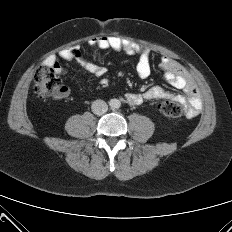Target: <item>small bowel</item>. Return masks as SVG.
Masks as SVG:
<instances>
[{
	"label": "small bowel",
	"mask_w": 232,
	"mask_h": 232,
	"mask_svg": "<svg viewBox=\"0 0 232 232\" xmlns=\"http://www.w3.org/2000/svg\"><path fill=\"white\" fill-rule=\"evenodd\" d=\"M90 45L101 50L124 52L137 55L136 73L142 78H148L151 74V51L149 48L136 44L132 41L117 36H100L89 41ZM64 61L76 60L77 63L89 74L102 77L107 73L106 67L83 57L76 48H67L59 53ZM48 61L53 65L58 74H66V69L57 61L55 56L49 57ZM158 66L163 73L164 79L173 87L182 89L185 93L177 95L165 90L160 86H153L142 93H128L125 100L130 106H137L146 100H174L182 104L188 117H196L202 107L201 96L191 74L176 60L169 56H161ZM70 94L69 87L62 85L61 92L54 96L55 99H64Z\"/></svg>",
	"instance_id": "obj_1"
}]
</instances>
